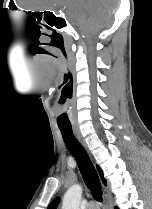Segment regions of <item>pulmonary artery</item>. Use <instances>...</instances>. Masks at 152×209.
Segmentation results:
<instances>
[{
  "instance_id": "pulmonary-artery-1",
  "label": "pulmonary artery",
  "mask_w": 152,
  "mask_h": 209,
  "mask_svg": "<svg viewBox=\"0 0 152 209\" xmlns=\"http://www.w3.org/2000/svg\"><path fill=\"white\" fill-rule=\"evenodd\" d=\"M85 209H99V207L94 202H89Z\"/></svg>"
}]
</instances>
